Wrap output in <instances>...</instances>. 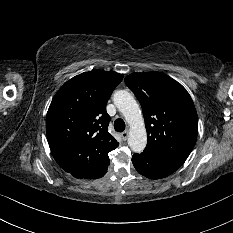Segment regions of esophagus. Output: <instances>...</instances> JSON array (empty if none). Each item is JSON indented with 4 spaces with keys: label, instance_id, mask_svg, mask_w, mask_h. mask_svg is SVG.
<instances>
[{
    "label": "esophagus",
    "instance_id": "esophagus-1",
    "mask_svg": "<svg viewBox=\"0 0 233 233\" xmlns=\"http://www.w3.org/2000/svg\"><path fill=\"white\" fill-rule=\"evenodd\" d=\"M128 135H129L128 130H126V131H124L123 133H121V137H122V139H123L124 141H126V140H127Z\"/></svg>",
    "mask_w": 233,
    "mask_h": 233
}]
</instances>
